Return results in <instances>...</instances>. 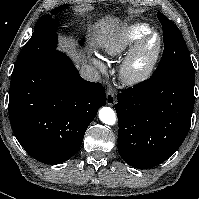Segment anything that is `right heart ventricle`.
Segmentation results:
<instances>
[{
    "label": "right heart ventricle",
    "instance_id": "right-heart-ventricle-1",
    "mask_svg": "<svg viewBox=\"0 0 199 199\" xmlns=\"http://www.w3.org/2000/svg\"><path fill=\"white\" fill-rule=\"evenodd\" d=\"M150 30L149 25L145 23L130 24L105 38L101 47L110 56H120Z\"/></svg>",
    "mask_w": 199,
    "mask_h": 199
}]
</instances>
